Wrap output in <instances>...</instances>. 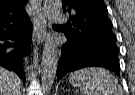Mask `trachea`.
<instances>
[{"label":"trachea","instance_id":"1","mask_svg":"<svg viewBox=\"0 0 135 95\" xmlns=\"http://www.w3.org/2000/svg\"><path fill=\"white\" fill-rule=\"evenodd\" d=\"M54 26H61V25H56V24H53Z\"/></svg>","mask_w":135,"mask_h":95}]
</instances>
